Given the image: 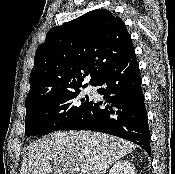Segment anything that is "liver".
<instances>
[{
  "label": "liver",
  "instance_id": "obj_1",
  "mask_svg": "<svg viewBox=\"0 0 175 174\" xmlns=\"http://www.w3.org/2000/svg\"><path fill=\"white\" fill-rule=\"evenodd\" d=\"M135 148V144L105 133L58 131L29 147L20 174H76L77 163L86 166V174H104Z\"/></svg>",
  "mask_w": 175,
  "mask_h": 174
}]
</instances>
